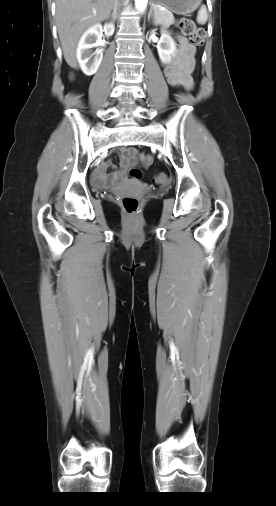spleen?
<instances>
[{
	"label": "spleen",
	"instance_id": "3e777b00",
	"mask_svg": "<svg viewBox=\"0 0 276 506\" xmlns=\"http://www.w3.org/2000/svg\"><path fill=\"white\" fill-rule=\"evenodd\" d=\"M207 9L205 5H202L197 15V23L200 25H204L207 22Z\"/></svg>",
	"mask_w": 276,
	"mask_h": 506
}]
</instances>
